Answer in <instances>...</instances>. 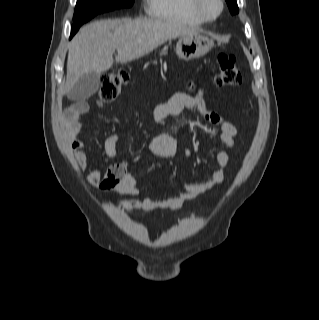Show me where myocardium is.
<instances>
[{"mask_svg": "<svg viewBox=\"0 0 319 320\" xmlns=\"http://www.w3.org/2000/svg\"><path fill=\"white\" fill-rule=\"evenodd\" d=\"M219 9L216 14L210 15L204 6V0H191V7L194 11V13L202 19L204 22H213L217 20L224 10V1L223 0H217Z\"/></svg>", "mask_w": 319, "mask_h": 320, "instance_id": "f54148a6", "label": "myocardium"}]
</instances>
